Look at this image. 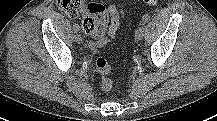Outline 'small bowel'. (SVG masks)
Instances as JSON below:
<instances>
[{
  "mask_svg": "<svg viewBox=\"0 0 217 121\" xmlns=\"http://www.w3.org/2000/svg\"><path fill=\"white\" fill-rule=\"evenodd\" d=\"M108 12L110 19L107 22L106 29L102 33L88 34L90 36L88 45L91 50L95 51L103 47L115 37L120 22L125 14L124 7L118 8L114 5L108 6Z\"/></svg>",
  "mask_w": 217,
  "mask_h": 121,
  "instance_id": "c3829d8e",
  "label": "small bowel"
}]
</instances>
